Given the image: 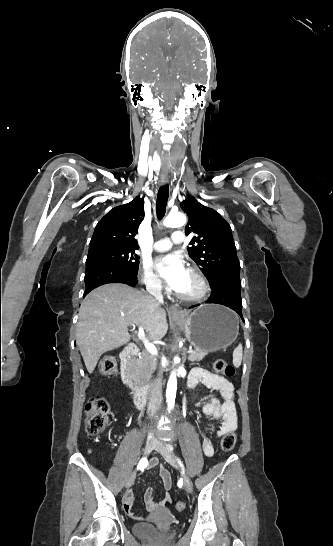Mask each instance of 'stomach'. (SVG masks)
Wrapping results in <instances>:
<instances>
[{
  "label": "stomach",
  "instance_id": "obj_1",
  "mask_svg": "<svg viewBox=\"0 0 333 546\" xmlns=\"http://www.w3.org/2000/svg\"><path fill=\"white\" fill-rule=\"evenodd\" d=\"M187 340L196 349L216 352L230 346L238 335L235 313L218 304L204 305L194 310L183 322Z\"/></svg>",
  "mask_w": 333,
  "mask_h": 546
}]
</instances>
